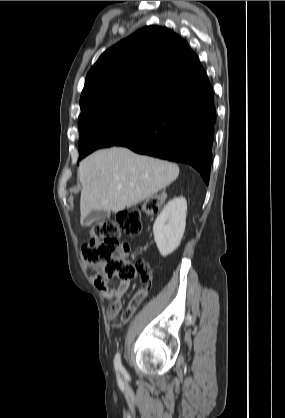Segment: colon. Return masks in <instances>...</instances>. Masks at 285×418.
<instances>
[{
  "mask_svg": "<svg viewBox=\"0 0 285 418\" xmlns=\"http://www.w3.org/2000/svg\"><path fill=\"white\" fill-rule=\"evenodd\" d=\"M163 201V194L152 196L145 202L120 212L117 221L106 220L90 227L89 236L82 246V255L86 263L101 266L94 278L97 288L106 290L115 278L128 279L137 274L139 266L128 260L131 249L127 243L120 242V234L124 232L127 235H138L142 230V216L156 212ZM148 292L149 286L142 283L133 296L134 302L144 301Z\"/></svg>",
  "mask_w": 285,
  "mask_h": 418,
  "instance_id": "5ec220e1",
  "label": "colon"
}]
</instances>
